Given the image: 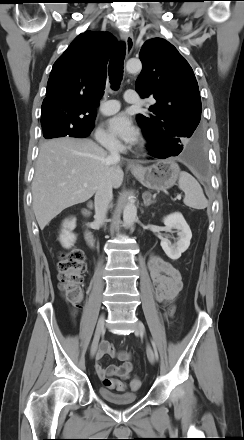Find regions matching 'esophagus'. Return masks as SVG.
I'll use <instances>...</instances> for the list:
<instances>
[{"label":"esophagus","instance_id":"1","mask_svg":"<svg viewBox=\"0 0 244 440\" xmlns=\"http://www.w3.org/2000/svg\"><path fill=\"white\" fill-rule=\"evenodd\" d=\"M122 40L125 42L126 45V54L130 55L133 48H134V37L131 31H121L120 33ZM132 168H137L138 165L131 163L129 165Z\"/></svg>","mask_w":244,"mask_h":440}]
</instances>
